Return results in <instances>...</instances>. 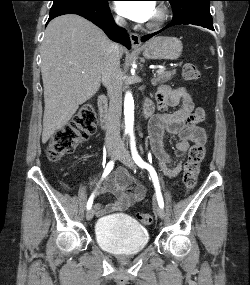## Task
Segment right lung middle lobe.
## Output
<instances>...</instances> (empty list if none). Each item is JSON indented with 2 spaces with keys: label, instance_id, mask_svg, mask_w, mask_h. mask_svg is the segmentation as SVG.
I'll use <instances>...</instances> for the list:
<instances>
[{
  "label": "right lung middle lobe",
  "instance_id": "right-lung-middle-lobe-1",
  "mask_svg": "<svg viewBox=\"0 0 250 285\" xmlns=\"http://www.w3.org/2000/svg\"><path fill=\"white\" fill-rule=\"evenodd\" d=\"M50 16H55L70 10L87 9L98 10L103 8L109 0H52Z\"/></svg>",
  "mask_w": 250,
  "mask_h": 285
}]
</instances>
